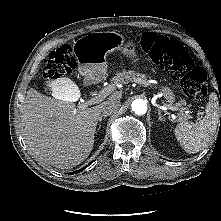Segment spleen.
<instances>
[{"label":"spleen","mask_w":221,"mask_h":221,"mask_svg":"<svg viewBox=\"0 0 221 221\" xmlns=\"http://www.w3.org/2000/svg\"><path fill=\"white\" fill-rule=\"evenodd\" d=\"M219 123V102L215 93L210 94L204 118L199 122H182L175 128V136L187 153H197L215 134Z\"/></svg>","instance_id":"1"}]
</instances>
